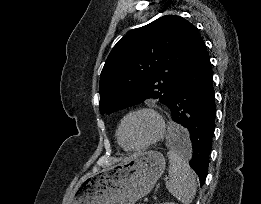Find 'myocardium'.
Masks as SVG:
<instances>
[{
  "label": "myocardium",
  "mask_w": 261,
  "mask_h": 204,
  "mask_svg": "<svg viewBox=\"0 0 261 204\" xmlns=\"http://www.w3.org/2000/svg\"><path fill=\"white\" fill-rule=\"evenodd\" d=\"M141 114H146L151 116L157 125V130L156 133L154 134L153 137H151L149 140L146 142L136 145V146H128L126 145L123 140H122V129L131 117L136 116V115H141ZM166 131V122L163 117V115L153 106H141L135 109H132L129 111L127 114L124 115V117L121 119L120 124L117 129V139L119 144L128 151H140L149 148L150 146L158 143L164 136Z\"/></svg>",
  "instance_id": "myocardium-1"
}]
</instances>
